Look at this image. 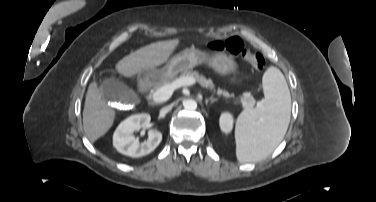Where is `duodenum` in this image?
I'll return each instance as SVG.
<instances>
[{"instance_id": "duodenum-1", "label": "duodenum", "mask_w": 376, "mask_h": 202, "mask_svg": "<svg viewBox=\"0 0 376 202\" xmlns=\"http://www.w3.org/2000/svg\"><path fill=\"white\" fill-rule=\"evenodd\" d=\"M139 89L141 92H146L148 90V82L142 81L139 85Z\"/></svg>"}]
</instances>
